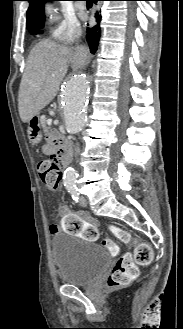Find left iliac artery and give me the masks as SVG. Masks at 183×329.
<instances>
[{
	"label": "left iliac artery",
	"mask_w": 183,
	"mask_h": 329,
	"mask_svg": "<svg viewBox=\"0 0 183 329\" xmlns=\"http://www.w3.org/2000/svg\"><path fill=\"white\" fill-rule=\"evenodd\" d=\"M69 192L71 193V196H72L73 200L75 202H78V200H79L78 189L77 188H72V189L69 190Z\"/></svg>",
	"instance_id": "44dca946"
}]
</instances>
